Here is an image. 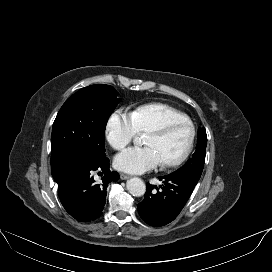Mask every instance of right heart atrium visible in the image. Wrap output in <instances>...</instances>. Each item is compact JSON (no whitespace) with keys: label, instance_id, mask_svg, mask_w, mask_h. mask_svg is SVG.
I'll use <instances>...</instances> for the list:
<instances>
[{"label":"right heart atrium","instance_id":"right-heart-atrium-1","mask_svg":"<svg viewBox=\"0 0 272 272\" xmlns=\"http://www.w3.org/2000/svg\"><path fill=\"white\" fill-rule=\"evenodd\" d=\"M138 133L132 113L124 109H115L106 121L105 137L115 150L123 149Z\"/></svg>","mask_w":272,"mask_h":272}]
</instances>
